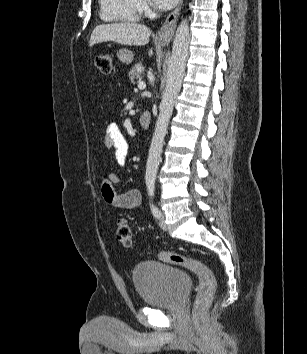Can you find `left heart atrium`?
<instances>
[{"mask_svg":"<svg viewBox=\"0 0 307 354\" xmlns=\"http://www.w3.org/2000/svg\"><path fill=\"white\" fill-rule=\"evenodd\" d=\"M154 5L160 9L172 8L178 0H152Z\"/></svg>","mask_w":307,"mask_h":354,"instance_id":"obj_1","label":"left heart atrium"}]
</instances>
